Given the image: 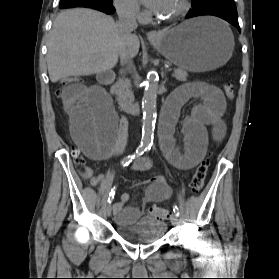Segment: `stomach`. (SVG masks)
<instances>
[{"label": "stomach", "mask_w": 279, "mask_h": 279, "mask_svg": "<svg viewBox=\"0 0 279 279\" xmlns=\"http://www.w3.org/2000/svg\"><path fill=\"white\" fill-rule=\"evenodd\" d=\"M173 64L191 72H203L224 65L232 55L234 38L221 21L199 17L160 33L154 42Z\"/></svg>", "instance_id": "0dacf381"}]
</instances>
